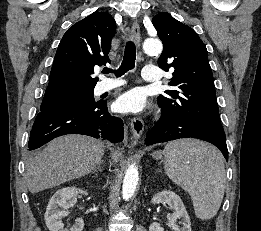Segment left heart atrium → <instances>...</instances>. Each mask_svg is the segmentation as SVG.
<instances>
[{
	"label": "left heart atrium",
	"mask_w": 261,
	"mask_h": 231,
	"mask_svg": "<svg viewBox=\"0 0 261 231\" xmlns=\"http://www.w3.org/2000/svg\"><path fill=\"white\" fill-rule=\"evenodd\" d=\"M148 105L145 92L141 88H133L120 95L115 107L122 113H139L146 109Z\"/></svg>",
	"instance_id": "left-heart-atrium-1"
}]
</instances>
